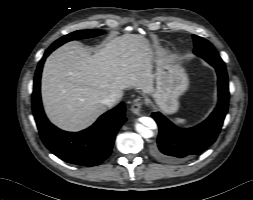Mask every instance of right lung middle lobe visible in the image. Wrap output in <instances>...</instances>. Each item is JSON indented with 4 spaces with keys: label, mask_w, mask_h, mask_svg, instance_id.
<instances>
[{
    "label": "right lung middle lobe",
    "mask_w": 253,
    "mask_h": 200,
    "mask_svg": "<svg viewBox=\"0 0 253 200\" xmlns=\"http://www.w3.org/2000/svg\"><path fill=\"white\" fill-rule=\"evenodd\" d=\"M104 31L99 30V29H92V30H84V31H75L72 32L68 35L63 36L62 38L58 39L57 41H55L50 47H59L60 45L71 41V40H78V39H82V38H89V37H95L98 35L103 34Z\"/></svg>",
    "instance_id": "right-lung-middle-lobe-1"
}]
</instances>
